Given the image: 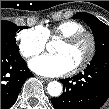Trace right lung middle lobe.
I'll return each instance as SVG.
<instances>
[{
  "label": "right lung middle lobe",
  "instance_id": "right-lung-middle-lobe-1",
  "mask_svg": "<svg viewBox=\"0 0 109 109\" xmlns=\"http://www.w3.org/2000/svg\"><path fill=\"white\" fill-rule=\"evenodd\" d=\"M25 27L16 26L14 23L10 21H1V50L18 52L16 43H15V35L19 29H23Z\"/></svg>",
  "mask_w": 109,
  "mask_h": 109
}]
</instances>
